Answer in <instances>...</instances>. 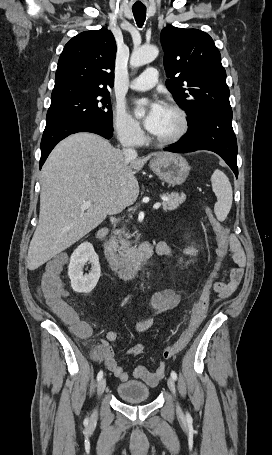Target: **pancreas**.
Instances as JSON below:
<instances>
[{
    "instance_id": "pancreas-1",
    "label": "pancreas",
    "mask_w": 272,
    "mask_h": 455,
    "mask_svg": "<svg viewBox=\"0 0 272 455\" xmlns=\"http://www.w3.org/2000/svg\"><path fill=\"white\" fill-rule=\"evenodd\" d=\"M164 196L167 198V200L162 202V208L164 211L174 210L178 208L186 199L185 194L183 193L179 194L177 192L171 194L166 193ZM121 233L123 232L120 230H117L115 232V234L118 235V237L114 236L109 240L108 248H110L113 252L118 251L121 258L126 259L129 257L131 251V249L129 248L130 242L122 239ZM125 236L127 238H130L129 234H125Z\"/></svg>"
}]
</instances>
